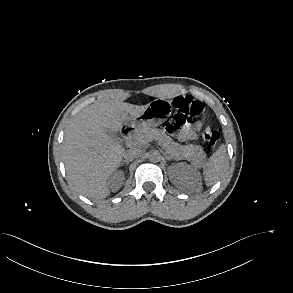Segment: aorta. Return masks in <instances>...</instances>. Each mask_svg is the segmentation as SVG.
<instances>
[{"mask_svg": "<svg viewBox=\"0 0 293 293\" xmlns=\"http://www.w3.org/2000/svg\"><path fill=\"white\" fill-rule=\"evenodd\" d=\"M148 159L153 163L159 162L161 160V154L157 150H152L148 154Z\"/></svg>", "mask_w": 293, "mask_h": 293, "instance_id": "1", "label": "aorta"}]
</instances>
